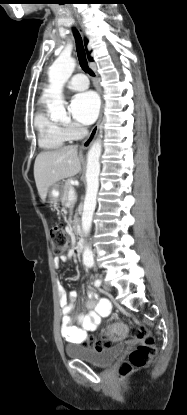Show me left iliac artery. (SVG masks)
Listing matches in <instances>:
<instances>
[{"mask_svg": "<svg viewBox=\"0 0 187 415\" xmlns=\"http://www.w3.org/2000/svg\"><path fill=\"white\" fill-rule=\"evenodd\" d=\"M100 285H101V280L97 279V280L95 281V286H96V287H99Z\"/></svg>", "mask_w": 187, "mask_h": 415, "instance_id": "obj_1", "label": "left iliac artery"}]
</instances>
